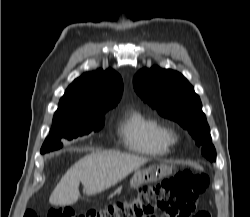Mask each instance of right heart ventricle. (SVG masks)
<instances>
[{
	"mask_svg": "<svg viewBox=\"0 0 250 217\" xmlns=\"http://www.w3.org/2000/svg\"><path fill=\"white\" fill-rule=\"evenodd\" d=\"M117 134L123 146L136 154L164 156L171 151L172 142L163 125L136 109L123 115L117 125Z\"/></svg>",
	"mask_w": 250,
	"mask_h": 217,
	"instance_id": "e07e8e85",
	"label": "right heart ventricle"
}]
</instances>
